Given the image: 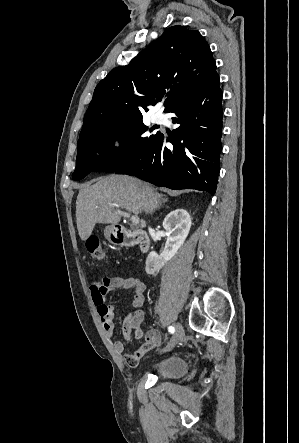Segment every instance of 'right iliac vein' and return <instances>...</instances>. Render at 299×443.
<instances>
[{
    "instance_id": "right-iliac-vein-1",
    "label": "right iliac vein",
    "mask_w": 299,
    "mask_h": 443,
    "mask_svg": "<svg viewBox=\"0 0 299 443\" xmlns=\"http://www.w3.org/2000/svg\"><path fill=\"white\" fill-rule=\"evenodd\" d=\"M183 336V328L180 324H176L175 326V333L173 334L171 340L166 346V351L172 350L181 340Z\"/></svg>"
}]
</instances>
